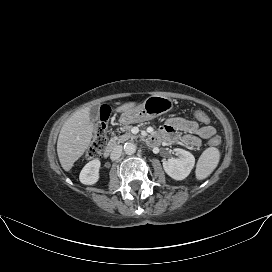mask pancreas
Returning a JSON list of instances; mask_svg holds the SVG:
<instances>
[{
	"instance_id": "1",
	"label": "pancreas",
	"mask_w": 272,
	"mask_h": 272,
	"mask_svg": "<svg viewBox=\"0 0 272 272\" xmlns=\"http://www.w3.org/2000/svg\"><path fill=\"white\" fill-rule=\"evenodd\" d=\"M130 129H131V126H128V125H125L121 128V131H126L125 134L123 135H120V136H116L113 134V137L111 138L110 142L112 144H115V143H121V142H124L128 139H135L137 138L136 136H134L133 134H131L130 132Z\"/></svg>"
}]
</instances>
